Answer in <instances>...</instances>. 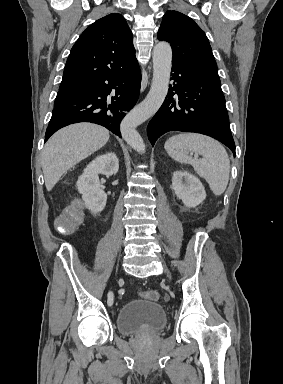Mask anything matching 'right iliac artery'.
I'll use <instances>...</instances> for the list:
<instances>
[{
  "instance_id": "right-iliac-artery-1",
  "label": "right iliac artery",
  "mask_w": 283,
  "mask_h": 384,
  "mask_svg": "<svg viewBox=\"0 0 283 384\" xmlns=\"http://www.w3.org/2000/svg\"><path fill=\"white\" fill-rule=\"evenodd\" d=\"M113 298H114V296H113V292H112V291H109V292H108V300H107V304H108L109 306H111V305L113 304Z\"/></svg>"
}]
</instances>
